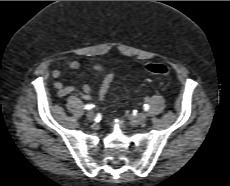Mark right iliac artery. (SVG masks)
<instances>
[{
  "label": "right iliac artery",
  "instance_id": "right-iliac-artery-1",
  "mask_svg": "<svg viewBox=\"0 0 230 186\" xmlns=\"http://www.w3.org/2000/svg\"><path fill=\"white\" fill-rule=\"evenodd\" d=\"M94 107V105H92V104H87V105H85V109L86 110H90V109H92Z\"/></svg>",
  "mask_w": 230,
  "mask_h": 186
}]
</instances>
